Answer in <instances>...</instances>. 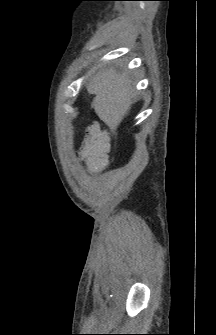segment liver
Instances as JSON below:
<instances>
[{
    "instance_id": "obj_1",
    "label": "liver",
    "mask_w": 216,
    "mask_h": 335,
    "mask_svg": "<svg viewBox=\"0 0 216 335\" xmlns=\"http://www.w3.org/2000/svg\"><path fill=\"white\" fill-rule=\"evenodd\" d=\"M88 89L95 94L93 106L99 117L117 128L137 101L134 86L126 72L104 69L91 80Z\"/></svg>"
}]
</instances>
